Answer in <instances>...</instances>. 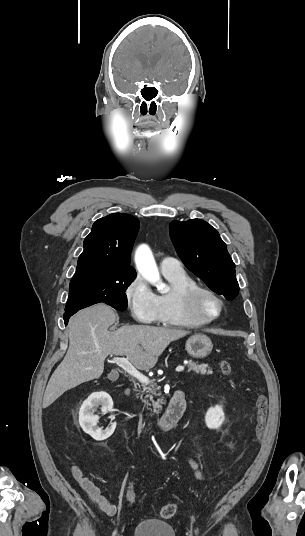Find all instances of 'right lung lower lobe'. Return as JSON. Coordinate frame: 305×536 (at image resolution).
<instances>
[{"mask_svg": "<svg viewBox=\"0 0 305 536\" xmlns=\"http://www.w3.org/2000/svg\"><path fill=\"white\" fill-rule=\"evenodd\" d=\"M77 311H79V310L66 311V312L64 313V321H65V325H67L69 318H70L73 314H75Z\"/></svg>", "mask_w": 305, "mask_h": 536, "instance_id": "1", "label": "right lung lower lobe"}]
</instances>
